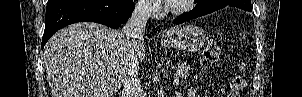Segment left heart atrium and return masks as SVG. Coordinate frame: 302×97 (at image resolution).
I'll list each match as a JSON object with an SVG mask.
<instances>
[{
    "mask_svg": "<svg viewBox=\"0 0 302 97\" xmlns=\"http://www.w3.org/2000/svg\"><path fill=\"white\" fill-rule=\"evenodd\" d=\"M178 0H158V2H162V3H165V4H174L176 3Z\"/></svg>",
    "mask_w": 302,
    "mask_h": 97,
    "instance_id": "39dd6f15",
    "label": "left heart atrium"
}]
</instances>
